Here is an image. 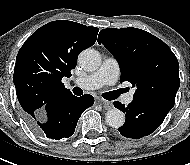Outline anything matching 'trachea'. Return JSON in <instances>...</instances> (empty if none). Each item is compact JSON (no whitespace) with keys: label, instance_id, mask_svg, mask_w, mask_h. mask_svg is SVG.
<instances>
[{"label":"trachea","instance_id":"obj_1","mask_svg":"<svg viewBox=\"0 0 190 165\" xmlns=\"http://www.w3.org/2000/svg\"><path fill=\"white\" fill-rule=\"evenodd\" d=\"M73 92L75 95H78V96L83 94V91L79 87H75L73 89ZM102 96L107 100H112L117 97V93H104Z\"/></svg>","mask_w":190,"mask_h":165}]
</instances>
